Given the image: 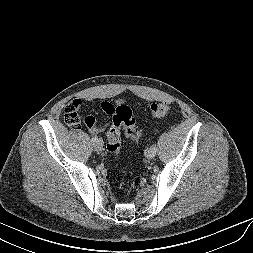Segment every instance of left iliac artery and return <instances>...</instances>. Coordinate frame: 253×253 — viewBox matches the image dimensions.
<instances>
[{
	"mask_svg": "<svg viewBox=\"0 0 253 253\" xmlns=\"http://www.w3.org/2000/svg\"><path fill=\"white\" fill-rule=\"evenodd\" d=\"M151 149L155 152L157 151V148L155 146H152Z\"/></svg>",
	"mask_w": 253,
	"mask_h": 253,
	"instance_id": "44dca946",
	"label": "left iliac artery"
}]
</instances>
